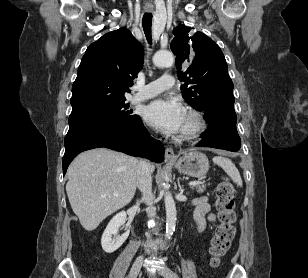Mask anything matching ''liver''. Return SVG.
<instances>
[{
    "label": "liver",
    "instance_id": "6515ba94",
    "mask_svg": "<svg viewBox=\"0 0 308 278\" xmlns=\"http://www.w3.org/2000/svg\"><path fill=\"white\" fill-rule=\"evenodd\" d=\"M139 160L96 148L79 154L70 164L66 192L82 227L92 231L134 197ZM155 169L151 165V171Z\"/></svg>",
    "mask_w": 308,
    "mask_h": 278
}]
</instances>
